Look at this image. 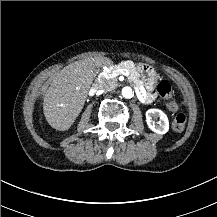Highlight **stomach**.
<instances>
[{"instance_id":"stomach-1","label":"stomach","mask_w":217,"mask_h":217,"mask_svg":"<svg viewBox=\"0 0 217 217\" xmlns=\"http://www.w3.org/2000/svg\"><path fill=\"white\" fill-rule=\"evenodd\" d=\"M136 69L139 72L143 85L147 92H152L156 88L157 74L154 67L148 64H137Z\"/></svg>"}]
</instances>
